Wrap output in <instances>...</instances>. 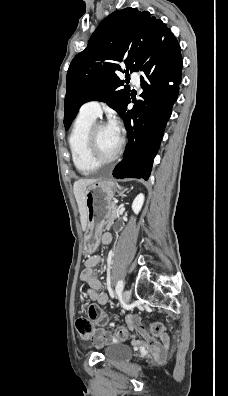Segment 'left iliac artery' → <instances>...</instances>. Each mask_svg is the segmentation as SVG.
I'll return each mask as SVG.
<instances>
[{"label": "left iliac artery", "mask_w": 228, "mask_h": 396, "mask_svg": "<svg viewBox=\"0 0 228 396\" xmlns=\"http://www.w3.org/2000/svg\"><path fill=\"white\" fill-rule=\"evenodd\" d=\"M123 288H124V281L123 280H119L117 285H116V288H115L116 293L117 294H121L122 291H123Z\"/></svg>", "instance_id": "1"}]
</instances>
